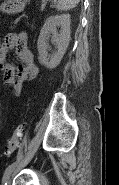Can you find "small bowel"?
<instances>
[{"instance_id":"1","label":"small bowel","mask_w":119,"mask_h":185,"mask_svg":"<svg viewBox=\"0 0 119 185\" xmlns=\"http://www.w3.org/2000/svg\"><path fill=\"white\" fill-rule=\"evenodd\" d=\"M13 49L20 63L17 67L6 60L7 54ZM0 70L3 73L5 84L11 86L15 94H20L26 81L33 80L36 77L38 67L28 48L26 33L12 32L6 34L0 46Z\"/></svg>"}]
</instances>
